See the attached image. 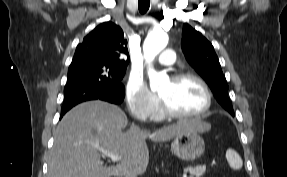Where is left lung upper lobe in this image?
Here are the masks:
<instances>
[{
  "instance_id": "5c2ea615",
  "label": "left lung upper lobe",
  "mask_w": 287,
  "mask_h": 177,
  "mask_svg": "<svg viewBox=\"0 0 287 177\" xmlns=\"http://www.w3.org/2000/svg\"><path fill=\"white\" fill-rule=\"evenodd\" d=\"M182 50L188 63L207 82L217 101L234 116L228 84L212 44L188 24L183 25Z\"/></svg>"
}]
</instances>
